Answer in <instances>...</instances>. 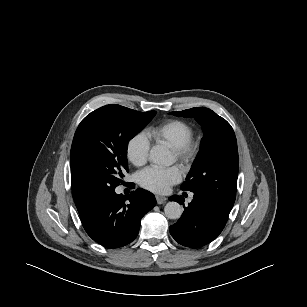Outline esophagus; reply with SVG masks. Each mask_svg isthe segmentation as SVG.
<instances>
[{
  "label": "esophagus",
  "instance_id": "1",
  "mask_svg": "<svg viewBox=\"0 0 307 307\" xmlns=\"http://www.w3.org/2000/svg\"><path fill=\"white\" fill-rule=\"evenodd\" d=\"M166 200H167L166 197L160 196V195H156V201H157L158 204H162V203H164Z\"/></svg>",
  "mask_w": 307,
  "mask_h": 307
}]
</instances>
